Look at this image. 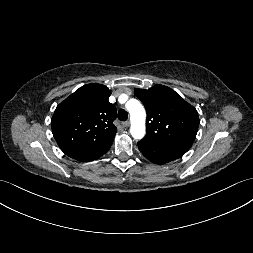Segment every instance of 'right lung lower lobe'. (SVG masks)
<instances>
[{
	"mask_svg": "<svg viewBox=\"0 0 253 253\" xmlns=\"http://www.w3.org/2000/svg\"><path fill=\"white\" fill-rule=\"evenodd\" d=\"M112 142L113 141L108 142V143H106L102 146H99L97 148H94L92 150L83 152V153L73 157V159H76L81 162H88V161L98 159L99 157L104 155L110 149Z\"/></svg>",
	"mask_w": 253,
	"mask_h": 253,
	"instance_id": "98d812e1",
	"label": "right lung lower lobe"
}]
</instances>
